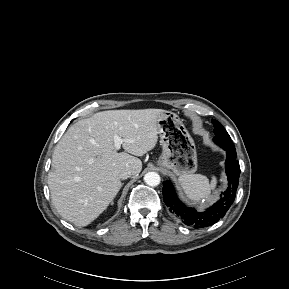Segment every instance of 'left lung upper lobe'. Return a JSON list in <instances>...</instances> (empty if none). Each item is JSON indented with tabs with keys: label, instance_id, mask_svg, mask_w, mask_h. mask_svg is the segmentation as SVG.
<instances>
[{
	"label": "left lung upper lobe",
	"instance_id": "left-lung-upper-lobe-1",
	"mask_svg": "<svg viewBox=\"0 0 289 289\" xmlns=\"http://www.w3.org/2000/svg\"><path fill=\"white\" fill-rule=\"evenodd\" d=\"M212 123L214 125V133L215 137L214 142L219 146H233L232 140L229 134L226 132L225 128L219 123L217 120L212 119Z\"/></svg>",
	"mask_w": 289,
	"mask_h": 289
}]
</instances>
